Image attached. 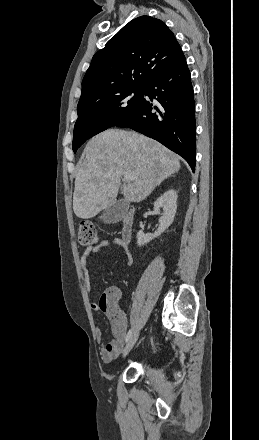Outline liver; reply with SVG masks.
I'll use <instances>...</instances> for the list:
<instances>
[{
	"label": "liver",
	"mask_w": 259,
	"mask_h": 440,
	"mask_svg": "<svg viewBox=\"0 0 259 440\" xmlns=\"http://www.w3.org/2000/svg\"><path fill=\"white\" fill-rule=\"evenodd\" d=\"M179 169V157L156 140L108 129L85 147L75 178L74 213L82 219L94 217L116 202L119 189L125 202H140ZM126 174L134 179L125 180Z\"/></svg>",
	"instance_id": "1"
}]
</instances>
